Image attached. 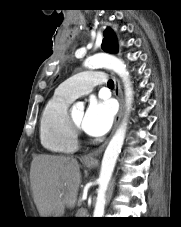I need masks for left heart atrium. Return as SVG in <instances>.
<instances>
[{"label": "left heart atrium", "instance_id": "1", "mask_svg": "<svg viewBox=\"0 0 181 227\" xmlns=\"http://www.w3.org/2000/svg\"><path fill=\"white\" fill-rule=\"evenodd\" d=\"M114 117L112 103L107 100H92L82 120L83 130L91 136H101L111 127Z\"/></svg>", "mask_w": 181, "mask_h": 227}]
</instances>
